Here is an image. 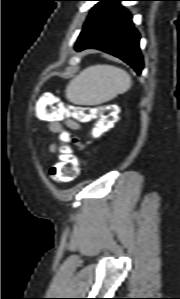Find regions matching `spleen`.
<instances>
[{
	"mask_svg": "<svg viewBox=\"0 0 180 299\" xmlns=\"http://www.w3.org/2000/svg\"><path fill=\"white\" fill-rule=\"evenodd\" d=\"M131 84V76L125 70L98 64L87 67L70 81L66 98L78 105H98L126 92Z\"/></svg>",
	"mask_w": 180,
	"mask_h": 299,
	"instance_id": "spleen-1",
	"label": "spleen"
}]
</instances>
